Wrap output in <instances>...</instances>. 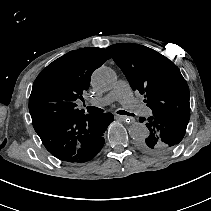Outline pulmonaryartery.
Here are the masks:
<instances>
[{
	"label": "pulmonary artery",
	"instance_id": "1",
	"mask_svg": "<svg viewBox=\"0 0 211 211\" xmlns=\"http://www.w3.org/2000/svg\"><path fill=\"white\" fill-rule=\"evenodd\" d=\"M116 100H119L121 106L125 107L126 110L133 111L136 117L145 119L150 116V107L145 103H138V100L135 97L134 93L130 91L129 84L122 81H119L114 90L106 96L92 100L90 102V105L102 108Z\"/></svg>",
	"mask_w": 211,
	"mask_h": 211
}]
</instances>
